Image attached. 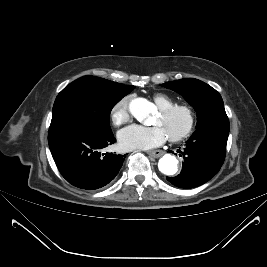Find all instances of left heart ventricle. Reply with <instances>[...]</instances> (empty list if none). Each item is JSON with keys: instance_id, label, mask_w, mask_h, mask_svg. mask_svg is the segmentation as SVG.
<instances>
[{"instance_id": "1", "label": "left heart ventricle", "mask_w": 267, "mask_h": 267, "mask_svg": "<svg viewBox=\"0 0 267 267\" xmlns=\"http://www.w3.org/2000/svg\"><path fill=\"white\" fill-rule=\"evenodd\" d=\"M187 119L183 112H176L169 117H163L160 113L154 120V125L162 127L167 136L180 133L186 126Z\"/></svg>"}]
</instances>
